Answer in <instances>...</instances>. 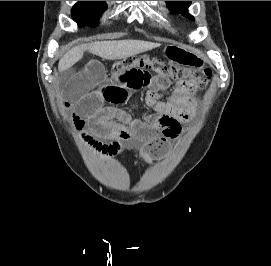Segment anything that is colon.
Masks as SVG:
<instances>
[{
  "mask_svg": "<svg viewBox=\"0 0 271 266\" xmlns=\"http://www.w3.org/2000/svg\"><path fill=\"white\" fill-rule=\"evenodd\" d=\"M135 66L145 67L160 75L177 80L180 87L187 92H195L205 88L211 79V72L208 69L177 67L148 56L129 57L116 61L112 70L120 72Z\"/></svg>",
  "mask_w": 271,
  "mask_h": 266,
  "instance_id": "colon-1",
  "label": "colon"
}]
</instances>
